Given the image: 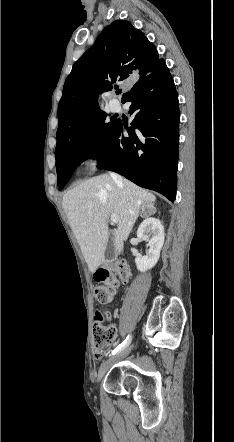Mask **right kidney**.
<instances>
[{"instance_id":"right-kidney-1","label":"right kidney","mask_w":234,"mask_h":442,"mask_svg":"<svg viewBox=\"0 0 234 442\" xmlns=\"http://www.w3.org/2000/svg\"><path fill=\"white\" fill-rule=\"evenodd\" d=\"M137 237L147 241L149 250L145 256L135 258L137 269L145 272L156 265L160 257V251L164 244L165 233L161 221L154 217L146 218L137 230Z\"/></svg>"}]
</instances>
